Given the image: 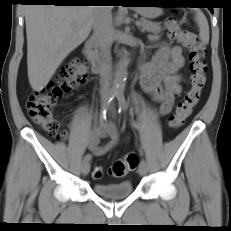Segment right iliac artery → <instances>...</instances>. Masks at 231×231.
Masks as SVG:
<instances>
[{"instance_id": "1", "label": "right iliac artery", "mask_w": 231, "mask_h": 231, "mask_svg": "<svg viewBox=\"0 0 231 231\" xmlns=\"http://www.w3.org/2000/svg\"><path fill=\"white\" fill-rule=\"evenodd\" d=\"M117 95V90L115 88H113L109 94L106 97V100L104 101L102 107H101V111H100V124L102 126L105 125L106 121H107V109H108V105L109 103L115 98V96ZM92 158L91 154H87L84 157V161H90Z\"/></svg>"}]
</instances>
